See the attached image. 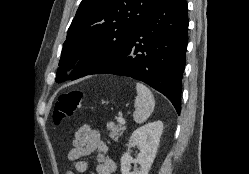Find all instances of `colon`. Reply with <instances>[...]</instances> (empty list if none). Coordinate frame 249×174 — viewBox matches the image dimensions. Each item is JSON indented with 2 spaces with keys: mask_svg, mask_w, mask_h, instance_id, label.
Masks as SVG:
<instances>
[{
  "mask_svg": "<svg viewBox=\"0 0 249 174\" xmlns=\"http://www.w3.org/2000/svg\"><path fill=\"white\" fill-rule=\"evenodd\" d=\"M84 93L80 89H70L58 97L54 109V120L60 123L71 117L81 106Z\"/></svg>",
  "mask_w": 249,
  "mask_h": 174,
  "instance_id": "5ec220e1",
  "label": "colon"
}]
</instances>
